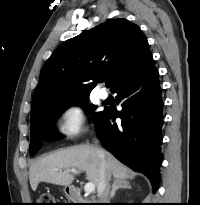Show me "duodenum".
<instances>
[{
  "mask_svg": "<svg viewBox=\"0 0 200 205\" xmlns=\"http://www.w3.org/2000/svg\"><path fill=\"white\" fill-rule=\"evenodd\" d=\"M67 195L72 201H75V202L83 201V197L81 193L75 187H69L67 189Z\"/></svg>",
  "mask_w": 200,
  "mask_h": 205,
  "instance_id": "1",
  "label": "duodenum"
}]
</instances>
